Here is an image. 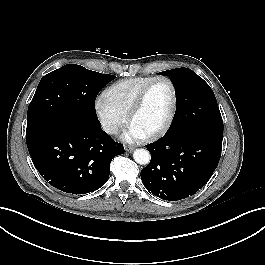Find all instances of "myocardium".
Instances as JSON below:
<instances>
[{"mask_svg":"<svg viewBox=\"0 0 265 265\" xmlns=\"http://www.w3.org/2000/svg\"><path fill=\"white\" fill-rule=\"evenodd\" d=\"M166 81L170 88H171V92H172V104H171V108L169 111V114L165 120V122L155 131H153L152 133L146 135L145 138L149 139V140H154L157 138H160L161 136H163L171 127L175 115H176V111H177V103H178V95H177V89L176 86L174 84V82L172 81V79H170L168 76H164V75H159V76H154L139 92V94L137 95L130 111L128 114V122L131 124L132 120L134 119V117L136 116V114L140 111V109L142 108L146 96L150 90V88L153 86V84L157 81Z\"/></svg>","mask_w":265,"mask_h":265,"instance_id":"obj_1","label":"myocardium"}]
</instances>
